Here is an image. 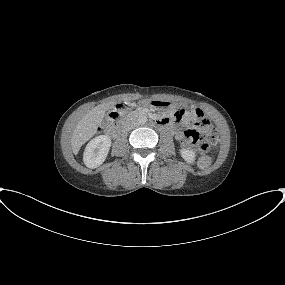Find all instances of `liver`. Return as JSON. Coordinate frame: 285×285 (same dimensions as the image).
I'll return each instance as SVG.
<instances>
[{
    "mask_svg": "<svg viewBox=\"0 0 285 285\" xmlns=\"http://www.w3.org/2000/svg\"><path fill=\"white\" fill-rule=\"evenodd\" d=\"M114 105L115 102L100 104L78 122L71 136V147L74 154H77L81 146L95 135L106 111L113 108Z\"/></svg>",
    "mask_w": 285,
    "mask_h": 285,
    "instance_id": "liver-1",
    "label": "liver"
}]
</instances>
